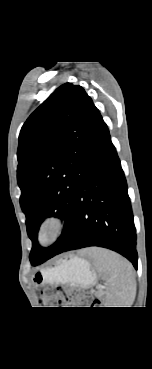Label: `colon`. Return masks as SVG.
Wrapping results in <instances>:
<instances>
[{"label": "colon", "mask_w": 152, "mask_h": 369, "mask_svg": "<svg viewBox=\"0 0 152 369\" xmlns=\"http://www.w3.org/2000/svg\"><path fill=\"white\" fill-rule=\"evenodd\" d=\"M42 300L51 307L76 306L79 308L87 307L94 301L87 291L68 287H57L46 291Z\"/></svg>", "instance_id": "obj_1"}]
</instances>
